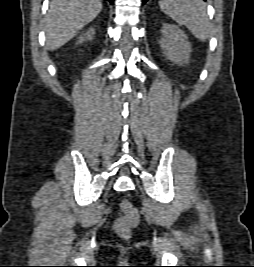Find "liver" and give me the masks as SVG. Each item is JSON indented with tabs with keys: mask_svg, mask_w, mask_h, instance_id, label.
<instances>
[{
	"mask_svg": "<svg viewBox=\"0 0 254 267\" xmlns=\"http://www.w3.org/2000/svg\"><path fill=\"white\" fill-rule=\"evenodd\" d=\"M102 10L100 0H53L46 16V49L56 50Z\"/></svg>",
	"mask_w": 254,
	"mask_h": 267,
	"instance_id": "obj_1",
	"label": "liver"
}]
</instances>
